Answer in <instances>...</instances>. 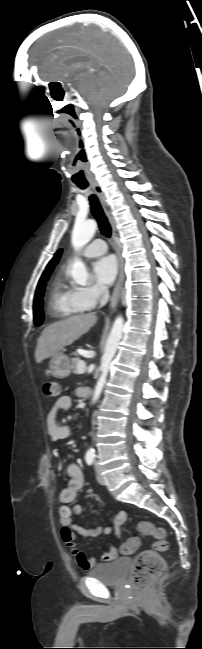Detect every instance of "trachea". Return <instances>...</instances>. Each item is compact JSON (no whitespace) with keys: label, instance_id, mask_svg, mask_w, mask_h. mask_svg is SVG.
I'll return each instance as SVG.
<instances>
[{"label":"trachea","instance_id":"trachea-1","mask_svg":"<svg viewBox=\"0 0 202 649\" xmlns=\"http://www.w3.org/2000/svg\"><path fill=\"white\" fill-rule=\"evenodd\" d=\"M77 186L81 189H85L88 187V183H77ZM89 200H90L92 214L98 222L101 233L105 237L110 238L111 226L102 210L98 198L96 197V195L92 194L90 195Z\"/></svg>","mask_w":202,"mask_h":649}]
</instances>
